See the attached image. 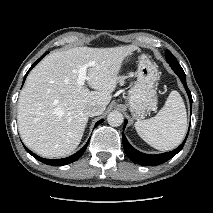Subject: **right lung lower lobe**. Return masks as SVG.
<instances>
[{
  "instance_id": "98d812e1",
  "label": "right lung lower lobe",
  "mask_w": 213,
  "mask_h": 213,
  "mask_svg": "<svg viewBox=\"0 0 213 213\" xmlns=\"http://www.w3.org/2000/svg\"><path fill=\"white\" fill-rule=\"evenodd\" d=\"M48 52H45L32 66L31 68L28 70V72L47 54ZM28 72L26 73L24 80L28 74ZM24 82V81H23ZM103 120L98 121L95 124V127H97ZM89 140L88 142L75 154L67 157V158H63V159H44L42 157H39L38 155L32 153L30 150H28L27 148H25L27 150V152H29L34 158H36L37 160L41 161L42 163L51 165V166H63V165H67L70 164L74 161H76L86 150L87 146H88Z\"/></svg>"
}]
</instances>
